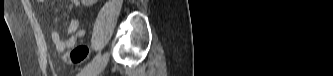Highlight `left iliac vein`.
Returning <instances> with one entry per match:
<instances>
[{
    "label": "left iliac vein",
    "instance_id": "1",
    "mask_svg": "<svg viewBox=\"0 0 333 76\" xmlns=\"http://www.w3.org/2000/svg\"><path fill=\"white\" fill-rule=\"evenodd\" d=\"M108 60H109V53L106 52L90 68L81 72L79 76H98L106 67Z\"/></svg>",
    "mask_w": 333,
    "mask_h": 76
}]
</instances>
